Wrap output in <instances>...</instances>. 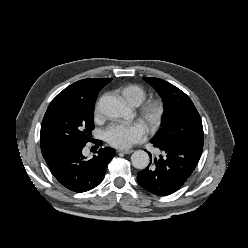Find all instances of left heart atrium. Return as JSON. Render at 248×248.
<instances>
[{"instance_id": "39dd6f15", "label": "left heart atrium", "mask_w": 248, "mask_h": 248, "mask_svg": "<svg viewBox=\"0 0 248 248\" xmlns=\"http://www.w3.org/2000/svg\"><path fill=\"white\" fill-rule=\"evenodd\" d=\"M147 129L141 122L112 124L105 131L106 141L113 147L127 149L146 138Z\"/></svg>"}]
</instances>
